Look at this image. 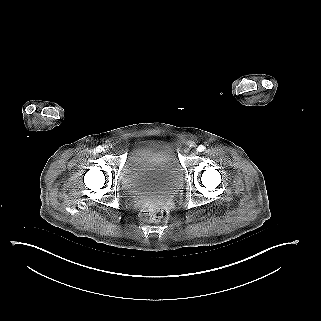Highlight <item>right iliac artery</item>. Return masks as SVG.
Masks as SVG:
<instances>
[{
	"instance_id": "right-iliac-artery-1",
	"label": "right iliac artery",
	"mask_w": 321,
	"mask_h": 321,
	"mask_svg": "<svg viewBox=\"0 0 321 321\" xmlns=\"http://www.w3.org/2000/svg\"><path fill=\"white\" fill-rule=\"evenodd\" d=\"M96 151H97V152H102V151H103V147H102V146L96 147Z\"/></svg>"
}]
</instances>
